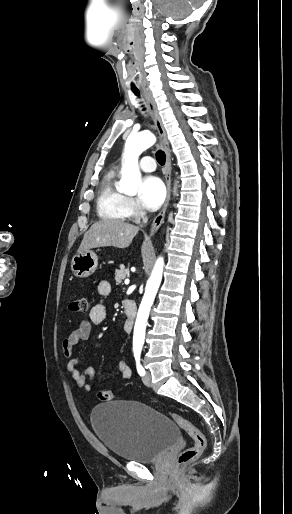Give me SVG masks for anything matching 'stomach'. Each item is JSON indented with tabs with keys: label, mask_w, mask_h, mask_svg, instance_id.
<instances>
[{
	"label": "stomach",
	"mask_w": 292,
	"mask_h": 514,
	"mask_svg": "<svg viewBox=\"0 0 292 514\" xmlns=\"http://www.w3.org/2000/svg\"><path fill=\"white\" fill-rule=\"evenodd\" d=\"M98 258L95 252L87 250V252H79L71 262V270L77 278H88L97 270Z\"/></svg>",
	"instance_id": "1"
}]
</instances>
